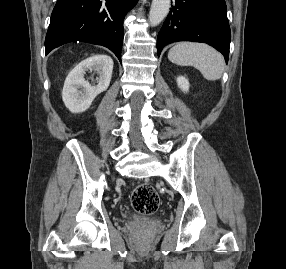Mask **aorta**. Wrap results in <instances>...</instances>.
Listing matches in <instances>:
<instances>
[{
  "label": "aorta",
  "instance_id": "aorta-1",
  "mask_svg": "<svg viewBox=\"0 0 286 269\" xmlns=\"http://www.w3.org/2000/svg\"><path fill=\"white\" fill-rule=\"evenodd\" d=\"M171 0H153L150 13L149 22L151 26H157L167 16L170 9Z\"/></svg>",
  "mask_w": 286,
  "mask_h": 269
}]
</instances>
